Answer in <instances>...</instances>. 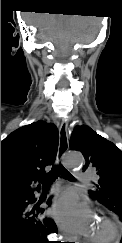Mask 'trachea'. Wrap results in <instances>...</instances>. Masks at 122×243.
Returning <instances> with one entry per match:
<instances>
[{"label": "trachea", "mask_w": 122, "mask_h": 243, "mask_svg": "<svg viewBox=\"0 0 122 243\" xmlns=\"http://www.w3.org/2000/svg\"><path fill=\"white\" fill-rule=\"evenodd\" d=\"M59 173L64 179L69 181H74L75 178L73 177L70 172H68L61 164L59 167H53L52 170L46 174L45 176L40 177L38 180L42 183L43 187H49L59 176Z\"/></svg>", "instance_id": "obj_1"}]
</instances>
